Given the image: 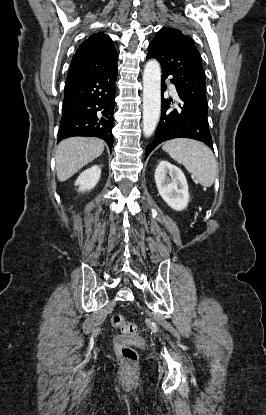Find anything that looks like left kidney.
Segmentation results:
<instances>
[{
  "mask_svg": "<svg viewBox=\"0 0 266 415\" xmlns=\"http://www.w3.org/2000/svg\"><path fill=\"white\" fill-rule=\"evenodd\" d=\"M154 177L157 190L167 205L176 211L184 210L189 202V191L181 169L168 161H160Z\"/></svg>",
  "mask_w": 266,
  "mask_h": 415,
  "instance_id": "left-kidney-1",
  "label": "left kidney"
}]
</instances>
